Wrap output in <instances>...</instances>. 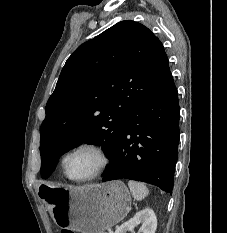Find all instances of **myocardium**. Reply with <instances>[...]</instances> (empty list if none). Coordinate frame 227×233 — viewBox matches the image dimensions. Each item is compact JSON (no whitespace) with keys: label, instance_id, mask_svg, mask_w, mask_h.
I'll use <instances>...</instances> for the list:
<instances>
[{"label":"myocardium","instance_id":"1","mask_svg":"<svg viewBox=\"0 0 227 233\" xmlns=\"http://www.w3.org/2000/svg\"><path fill=\"white\" fill-rule=\"evenodd\" d=\"M81 150H91V151L95 152L100 159V164H99L98 168L91 175H89L85 178H81V179H74L69 174L68 162H69V159L72 155H74L75 153H77ZM109 164H110V156H109V153L107 152V150L101 144L94 143V142H88V143H83V144L76 146L75 148L71 149L65 155L64 162H63V171H64L65 176L70 181H73L76 183H83V182H88V181L94 180V179L98 178L99 176H101L106 171Z\"/></svg>","mask_w":227,"mask_h":233}]
</instances>
